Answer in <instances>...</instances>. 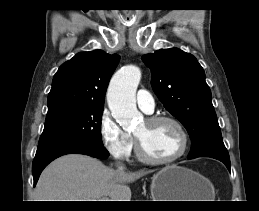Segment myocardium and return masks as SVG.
I'll return each mask as SVG.
<instances>
[{"label": "myocardium", "instance_id": "1", "mask_svg": "<svg viewBox=\"0 0 259 211\" xmlns=\"http://www.w3.org/2000/svg\"><path fill=\"white\" fill-rule=\"evenodd\" d=\"M146 121L150 124L167 122L174 125L179 133L181 144L179 150L174 155L167 158H154L146 153L140 139L135 135L136 151L140 160L148 164L162 165L175 162L185 154L188 148L189 138L185 127L177 118L169 115H155L146 118Z\"/></svg>", "mask_w": 259, "mask_h": 211}]
</instances>
